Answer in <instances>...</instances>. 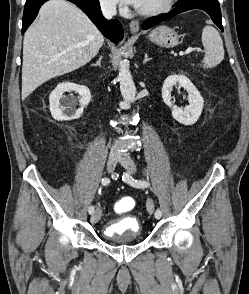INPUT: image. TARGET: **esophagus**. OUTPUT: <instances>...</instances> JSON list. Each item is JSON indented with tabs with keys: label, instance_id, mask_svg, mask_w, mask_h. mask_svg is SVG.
<instances>
[{
	"label": "esophagus",
	"instance_id": "esophagus-1",
	"mask_svg": "<svg viewBox=\"0 0 249 294\" xmlns=\"http://www.w3.org/2000/svg\"><path fill=\"white\" fill-rule=\"evenodd\" d=\"M129 26L132 33H136L139 31L140 24L138 20L131 21Z\"/></svg>",
	"mask_w": 249,
	"mask_h": 294
}]
</instances>
